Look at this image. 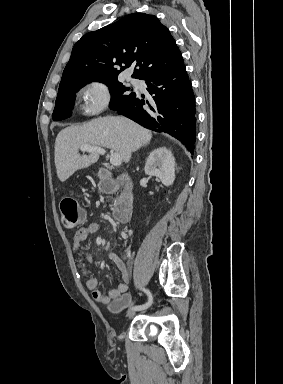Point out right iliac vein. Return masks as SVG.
Listing matches in <instances>:
<instances>
[{
  "label": "right iliac vein",
  "instance_id": "obj_1",
  "mask_svg": "<svg viewBox=\"0 0 283 384\" xmlns=\"http://www.w3.org/2000/svg\"><path fill=\"white\" fill-rule=\"evenodd\" d=\"M136 309H133V308H130L129 310H128V312H127V317L128 318H131L135 313H136Z\"/></svg>",
  "mask_w": 283,
  "mask_h": 384
}]
</instances>
